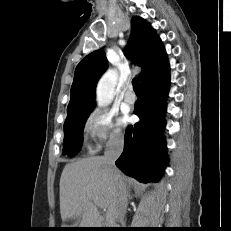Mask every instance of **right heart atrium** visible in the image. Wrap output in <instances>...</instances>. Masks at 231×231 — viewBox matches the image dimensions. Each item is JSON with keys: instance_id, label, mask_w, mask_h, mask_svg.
Segmentation results:
<instances>
[{"instance_id": "1", "label": "right heart atrium", "mask_w": 231, "mask_h": 231, "mask_svg": "<svg viewBox=\"0 0 231 231\" xmlns=\"http://www.w3.org/2000/svg\"><path fill=\"white\" fill-rule=\"evenodd\" d=\"M83 133L93 150L103 145L119 143L123 139V133L115 121L114 114L105 108H96L87 115Z\"/></svg>"}]
</instances>
